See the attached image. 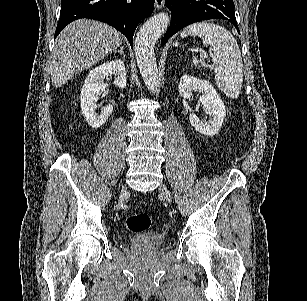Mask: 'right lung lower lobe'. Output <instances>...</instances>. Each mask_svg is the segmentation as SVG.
<instances>
[{
  "label": "right lung lower lobe",
  "instance_id": "right-lung-lower-lobe-1",
  "mask_svg": "<svg viewBox=\"0 0 307 301\" xmlns=\"http://www.w3.org/2000/svg\"><path fill=\"white\" fill-rule=\"evenodd\" d=\"M155 0H61L56 36L69 23L80 18L105 22L123 33L130 45L139 22L149 17Z\"/></svg>",
  "mask_w": 307,
  "mask_h": 301
}]
</instances>
